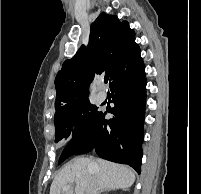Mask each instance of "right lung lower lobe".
<instances>
[{
	"mask_svg": "<svg viewBox=\"0 0 201 194\" xmlns=\"http://www.w3.org/2000/svg\"><path fill=\"white\" fill-rule=\"evenodd\" d=\"M146 77L142 58L110 85L114 107L105 119L101 112L90 128L72 139L63 153L83 154L95 150L103 159L128 164L141 171Z\"/></svg>",
	"mask_w": 201,
	"mask_h": 194,
	"instance_id": "right-lung-lower-lobe-1",
	"label": "right lung lower lobe"
}]
</instances>
